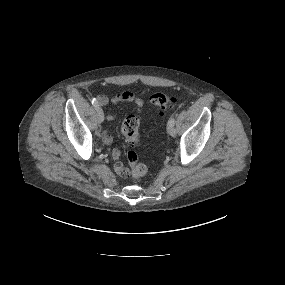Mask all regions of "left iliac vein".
I'll return each instance as SVG.
<instances>
[{
	"mask_svg": "<svg viewBox=\"0 0 285 285\" xmlns=\"http://www.w3.org/2000/svg\"><path fill=\"white\" fill-rule=\"evenodd\" d=\"M168 133L172 136L175 137L177 134L176 128L174 127V125L168 124L167 127Z\"/></svg>",
	"mask_w": 285,
	"mask_h": 285,
	"instance_id": "1",
	"label": "left iliac vein"
}]
</instances>
